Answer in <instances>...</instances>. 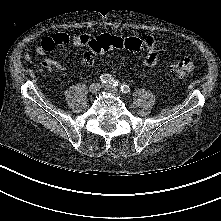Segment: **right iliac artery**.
Returning <instances> with one entry per match:
<instances>
[{
	"instance_id": "82829eb1",
	"label": "right iliac artery",
	"mask_w": 221,
	"mask_h": 221,
	"mask_svg": "<svg viewBox=\"0 0 221 221\" xmlns=\"http://www.w3.org/2000/svg\"><path fill=\"white\" fill-rule=\"evenodd\" d=\"M100 81L103 83H110L112 84L114 82V79L110 74L104 73L100 76Z\"/></svg>"
}]
</instances>
